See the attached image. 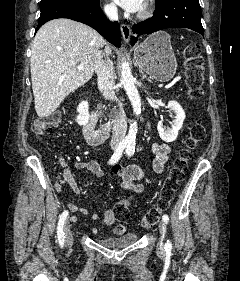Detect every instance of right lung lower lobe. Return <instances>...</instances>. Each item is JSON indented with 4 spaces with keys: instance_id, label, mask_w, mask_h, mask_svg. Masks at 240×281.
Here are the masks:
<instances>
[{
    "instance_id": "1",
    "label": "right lung lower lobe",
    "mask_w": 240,
    "mask_h": 281,
    "mask_svg": "<svg viewBox=\"0 0 240 281\" xmlns=\"http://www.w3.org/2000/svg\"><path fill=\"white\" fill-rule=\"evenodd\" d=\"M40 18L36 31L47 21L56 18H69L87 24L97 30L116 47H120V26L117 22L106 23L99 1L95 4H83L72 1H57L40 7Z\"/></svg>"
}]
</instances>
